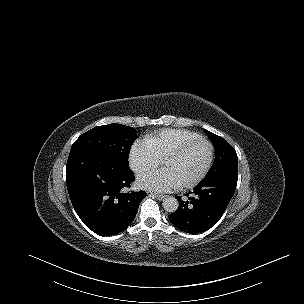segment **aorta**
Returning a JSON list of instances; mask_svg holds the SVG:
<instances>
[{
  "mask_svg": "<svg viewBox=\"0 0 304 304\" xmlns=\"http://www.w3.org/2000/svg\"><path fill=\"white\" fill-rule=\"evenodd\" d=\"M163 207L167 212L173 213L179 207L178 200L175 197L169 196L163 200Z\"/></svg>",
  "mask_w": 304,
  "mask_h": 304,
  "instance_id": "aorta-1",
  "label": "aorta"
}]
</instances>
